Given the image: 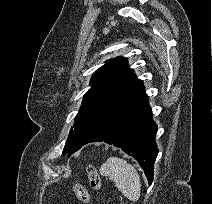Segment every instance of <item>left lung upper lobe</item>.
Returning a JSON list of instances; mask_svg holds the SVG:
<instances>
[{
  "label": "left lung upper lobe",
  "instance_id": "left-lung-upper-lobe-1",
  "mask_svg": "<svg viewBox=\"0 0 212 204\" xmlns=\"http://www.w3.org/2000/svg\"><path fill=\"white\" fill-rule=\"evenodd\" d=\"M91 88L85 94L81 108L75 117L63 154L72 148L78 135L100 120L119 103L132 95L141 86L125 58L108 60L91 79Z\"/></svg>",
  "mask_w": 212,
  "mask_h": 204
}]
</instances>
